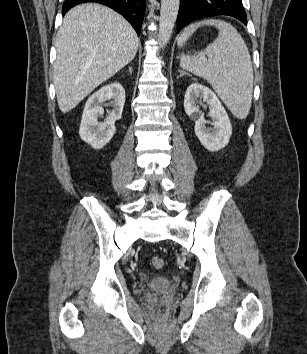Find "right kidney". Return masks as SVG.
I'll return each mask as SVG.
<instances>
[{
	"label": "right kidney",
	"mask_w": 307,
	"mask_h": 354,
	"mask_svg": "<svg viewBox=\"0 0 307 354\" xmlns=\"http://www.w3.org/2000/svg\"><path fill=\"white\" fill-rule=\"evenodd\" d=\"M111 100L113 110L108 112L104 122L98 118L104 113L102 103ZM125 103V90L118 82L102 87L92 94L84 107L79 134L83 141L94 149L103 148L115 134V121L122 117Z\"/></svg>",
	"instance_id": "right-kidney-1"
}]
</instances>
